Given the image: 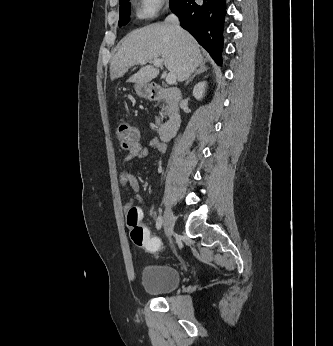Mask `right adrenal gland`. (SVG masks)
I'll list each match as a JSON object with an SVG mask.
<instances>
[{"label": "right adrenal gland", "mask_w": 333, "mask_h": 346, "mask_svg": "<svg viewBox=\"0 0 333 346\" xmlns=\"http://www.w3.org/2000/svg\"><path fill=\"white\" fill-rule=\"evenodd\" d=\"M204 71H207V67L205 66V63L202 62L200 65H199V68L197 70H195L194 74L186 81L185 83V86L194 79V77Z\"/></svg>", "instance_id": "2a0ac1e0"}]
</instances>
